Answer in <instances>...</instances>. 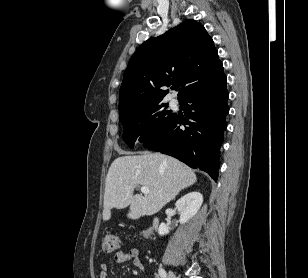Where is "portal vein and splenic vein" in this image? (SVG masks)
Returning <instances> with one entry per match:
<instances>
[{
    "label": "portal vein and splenic vein",
    "instance_id": "obj_1",
    "mask_svg": "<svg viewBox=\"0 0 308 278\" xmlns=\"http://www.w3.org/2000/svg\"><path fill=\"white\" fill-rule=\"evenodd\" d=\"M149 188L148 187H146V186H143V187H141V192L143 193V194H145V195H147L148 193H149Z\"/></svg>",
    "mask_w": 308,
    "mask_h": 278
}]
</instances>
